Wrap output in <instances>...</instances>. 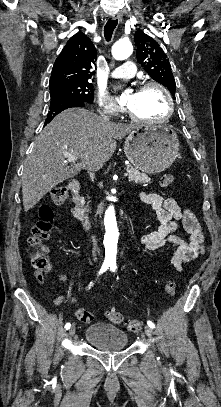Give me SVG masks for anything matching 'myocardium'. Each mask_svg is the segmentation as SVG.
<instances>
[{
  "instance_id": "myocardium-1",
  "label": "myocardium",
  "mask_w": 221,
  "mask_h": 407,
  "mask_svg": "<svg viewBox=\"0 0 221 407\" xmlns=\"http://www.w3.org/2000/svg\"><path fill=\"white\" fill-rule=\"evenodd\" d=\"M150 88L159 89L166 97L167 111H166V114L164 115V117H162L160 119H156V120H149V119H144V118L139 117L136 113L133 112L132 109H130L127 106L125 107V110L129 114V116L137 123L151 124V125L163 124V123L167 122L171 118V116H172V114L174 112V101H173L172 94L164 85H162V84H160L158 82L144 83L143 85L140 86L139 90L140 91H145V90H148Z\"/></svg>"
}]
</instances>
